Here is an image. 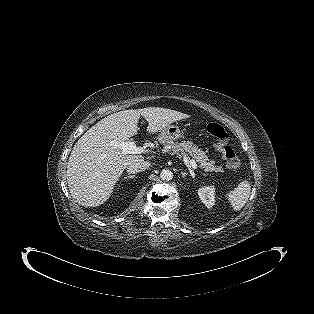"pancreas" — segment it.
Masks as SVG:
<instances>
[{
    "label": "pancreas",
    "instance_id": "pancreas-1",
    "mask_svg": "<svg viewBox=\"0 0 314 314\" xmlns=\"http://www.w3.org/2000/svg\"><path fill=\"white\" fill-rule=\"evenodd\" d=\"M164 148L163 152L171 153L172 155L176 154L179 157H185L187 155L199 163V167L204 169L205 172H219L222 170V167L217 166L214 160H209L206 153L194 145L190 141H183L181 143L174 142L173 140H168L163 143Z\"/></svg>",
    "mask_w": 314,
    "mask_h": 314
}]
</instances>
